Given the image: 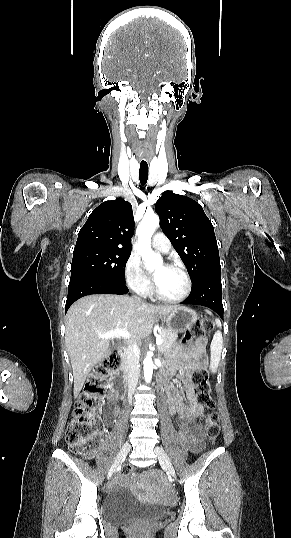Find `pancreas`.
I'll use <instances>...</instances> for the list:
<instances>
[{"mask_svg": "<svg viewBox=\"0 0 291 538\" xmlns=\"http://www.w3.org/2000/svg\"><path fill=\"white\" fill-rule=\"evenodd\" d=\"M160 334L163 338V343L159 346V350L163 352L174 344L177 334L169 329H162Z\"/></svg>", "mask_w": 291, "mask_h": 538, "instance_id": "1", "label": "pancreas"}]
</instances>
